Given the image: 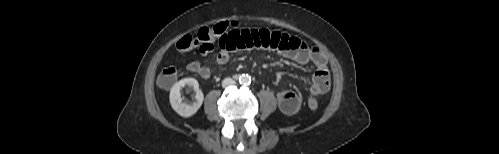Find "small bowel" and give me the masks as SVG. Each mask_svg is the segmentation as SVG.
Wrapping results in <instances>:
<instances>
[{"instance_id": "obj_1", "label": "small bowel", "mask_w": 499, "mask_h": 154, "mask_svg": "<svg viewBox=\"0 0 499 154\" xmlns=\"http://www.w3.org/2000/svg\"><path fill=\"white\" fill-rule=\"evenodd\" d=\"M219 51L216 56L218 64H225L230 54L239 50L269 49L274 50L299 64L311 63L316 70L312 77L309 94L319 96L330 89V71L324 53L318 48H311L300 39L288 34L272 31L266 28H237L218 37ZM215 50L213 41L203 42L199 46V53L207 56ZM188 71L199 74L202 78H209L211 71L208 66L198 61L190 62ZM278 107L286 115L297 113L301 107L299 96L291 91L284 90L277 94Z\"/></svg>"}]
</instances>
